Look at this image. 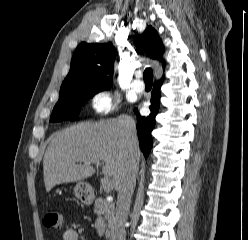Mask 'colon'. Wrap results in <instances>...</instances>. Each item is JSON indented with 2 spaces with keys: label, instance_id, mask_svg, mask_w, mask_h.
<instances>
[{
  "label": "colon",
  "instance_id": "5ec220e1",
  "mask_svg": "<svg viewBox=\"0 0 248 240\" xmlns=\"http://www.w3.org/2000/svg\"><path fill=\"white\" fill-rule=\"evenodd\" d=\"M43 224L47 228L60 229L63 224V218L61 213L57 211H49L45 214Z\"/></svg>",
  "mask_w": 248,
  "mask_h": 240
}]
</instances>
